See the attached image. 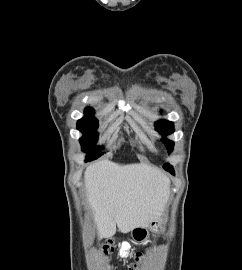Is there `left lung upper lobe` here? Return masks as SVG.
Here are the masks:
<instances>
[{
  "label": "left lung upper lobe",
  "mask_w": 242,
  "mask_h": 270,
  "mask_svg": "<svg viewBox=\"0 0 242 270\" xmlns=\"http://www.w3.org/2000/svg\"><path fill=\"white\" fill-rule=\"evenodd\" d=\"M156 130L162 135H169L174 132L173 123L166 120H160L155 123ZM162 142L165 143L168 152H171L173 149L174 142L168 139H162ZM164 169L174 174V171L171 166H164Z\"/></svg>",
  "instance_id": "left-lung-upper-lobe-1"
}]
</instances>
